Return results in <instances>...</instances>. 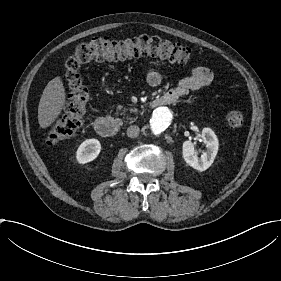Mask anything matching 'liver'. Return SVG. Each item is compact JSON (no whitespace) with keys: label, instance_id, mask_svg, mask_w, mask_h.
Segmentation results:
<instances>
[{"label":"liver","instance_id":"6515ba94","mask_svg":"<svg viewBox=\"0 0 281 281\" xmlns=\"http://www.w3.org/2000/svg\"><path fill=\"white\" fill-rule=\"evenodd\" d=\"M66 87L62 76L54 77L45 87L38 106V123L48 129L66 107Z\"/></svg>","mask_w":281,"mask_h":281}]
</instances>
